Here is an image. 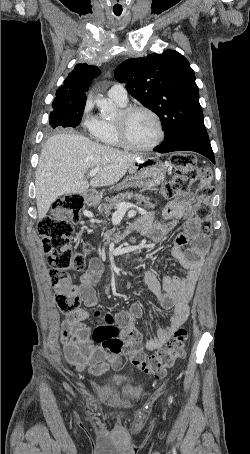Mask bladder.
<instances>
[{
    "label": "bladder",
    "mask_w": 250,
    "mask_h": 454,
    "mask_svg": "<svg viewBox=\"0 0 250 454\" xmlns=\"http://www.w3.org/2000/svg\"><path fill=\"white\" fill-rule=\"evenodd\" d=\"M130 384V378L127 374H117L106 382L107 388H119Z\"/></svg>",
    "instance_id": "31cf9c89"
}]
</instances>
